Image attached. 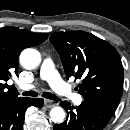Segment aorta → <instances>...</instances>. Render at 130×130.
Returning a JSON list of instances; mask_svg holds the SVG:
<instances>
[{"mask_svg": "<svg viewBox=\"0 0 130 130\" xmlns=\"http://www.w3.org/2000/svg\"><path fill=\"white\" fill-rule=\"evenodd\" d=\"M21 65L28 70L36 68L41 63L40 53L32 48L23 50L20 54ZM50 117L54 123L60 124L65 120L66 113L62 107H53L50 110Z\"/></svg>", "mask_w": 130, "mask_h": 130, "instance_id": "aorta-1", "label": "aorta"}]
</instances>
